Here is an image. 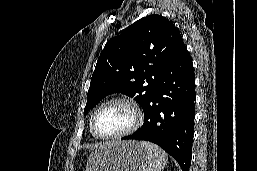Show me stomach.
Wrapping results in <instances>:
<instances>
[{
    "instance_id": "stomach-1",
    "label": "stomach",
    "mask_w": 257,
    "mask_h": 171,
    "mask_svg": "<svg viewBox=\"0 0 257 171\" xmlns=\"http://www.w3.org/2000/svg\"><path fill=\"white\" fill-rule=\"evenodd\" d=\"M146 150L134 140L113 142L93 151L87 160L86 171H146Z\"/></svg>"
}]
</instances>
